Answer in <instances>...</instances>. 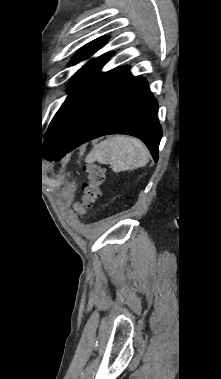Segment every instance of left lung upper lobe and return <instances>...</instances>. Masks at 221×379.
<instances>
[{
  "mask_svg": "<svg viewBox=\"0 0 221 379\" xmlns=\"http://www.w3.org/2000/svg\"><path fill=\"white\" fill-rule=\"evenodd\" d=\"M106 41L107 37H101L86 44L78 51L71 65L93 55ZM109 57L110 54H104L91 60L74 75L68 97L49 125L43 147L45 158L52 156L61 147L81 118L126 70V67H120L101 73L99 69Z\"/></svg>",
  "mask_w": 221,
  "mask_h": 379,
  "instance_id": "5c2ea615",
  "label": "left lung upper lobe"
}]
</instances>
